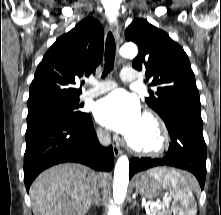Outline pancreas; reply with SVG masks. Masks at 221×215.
<instances>
[{
    "label": "pancreas",
    "instance_id": "pancreas-1",
    "mask_svg": "<svg viewBox=\"0 0 221 215\" xmlns=\"http://www.w3.org/2000/svg\"><path fill=\"white\" fill-rule=\"evenodd\" d=\"M151 215H172V212L165 209L153 208L151 211Z\"/></svg>",
    "mask_w": 221,
    "mask_h": 215
}]
</instances>
